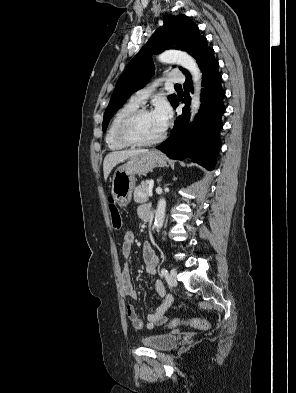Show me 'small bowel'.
I'll return each mask as SVG.
<instances>
[{
    "label": "small bowel",
    "mask_w": 296,
    "mask_h": 393,
    "mask_svg": "<svg viewBox=\"0 0 296 393\" xmlns=\"http://www.w3.org/2000/svg\"><path fill=\"white\" fill-rule=\"evenodd\" d=\"M151 208L149 205L139 206L137 213L138 217L142 220L148 216ZM135 242V234L132 231H127L124 235L122 243V253L125 258H128L131 254L133 244ZM142 256L145 263L146 272L149 274H156L158 266V258L156 257L153 247L150 243H145L142 249ZM121 283L123 292L126 296L133 299L138 297V293L133 287L130 278V271L127 266L122 271ZM155 290L159 296V301L156 306L146 315V328L152 329L155 325H161L166 321V315L173 304V296L167 293L161 280H156ZM127 316L130 320L131 325L135 329H142L144 327L143 321L139 318L136 309L132 305L127 306Z\"/></svg>",
    "instance_id": "obj_1"
}]
</instances>
